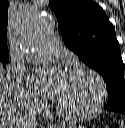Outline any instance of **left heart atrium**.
<instances>
[{
    "label": "left heart atrium",
    "instance_id": "1",
    "mask_svg": "<svg viewBox=\"0 0 125 128\" xmlns=\"http://www.w3.org/2000/svg\"><path fill=\"white\" fill-rule=\"evenodd\" d=\"M66 75L60 70L39 71L29 78L30 86L38 94L57 100L64 86Z\"/></svg>",
    "mask_w": 125,
    "mask_h": 128
}]
</instances>
